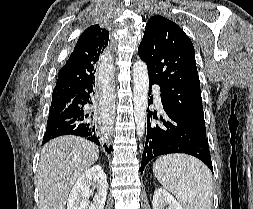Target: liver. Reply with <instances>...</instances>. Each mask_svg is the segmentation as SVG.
Returning a JSON list of instances; mask_svg holds the SVG:
<instances>
[{"label":"liver","instance_id":"1","mask_svg":"<svg viewBox=\"0 0 253 209\" xmlns=\"http://www.w3.org/2000/svg\"><path fill=\"white\" fill-rule=\"evenodd\" d=\"M98 157V147L78 136H60L46 143L37 170L39 209H65L75 181Z\"/></svg>","mask_w":253,"mask_h":209}]
</instances>
